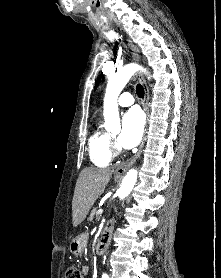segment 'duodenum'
Returning <instances> with one entry per match:
<instances>
[{
	"mask_svg": "<svg viewBox=\"0 0 221 278\" xmlns=\"http://www.w3.org/2000/svg\"><path fill=\"white\" fill-rule=\"evenodd\" d=\"M112 233H113V226L112 224L108 223L107 225H105L102 236L100 237L97 244L95 245L96 255H101L107 250L110 244Z\"/></svg>",
	"mask_w": 221,
	"mask_h": 278,
	"instance_id": "410a0bca",
	"label": "duodenum"
}]
</instances>
